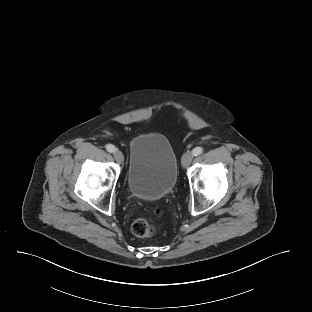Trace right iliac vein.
<instances>
[{
	"mask_svg": "<svg viewBox=\"0 0 312 312\" xmlns=\"http://www.w3.org/2000/svg\"><path fill=\"white\" fill-rule=\"evenodd\" d=\"M113 156L115 160L119 163H122L124 161L123 153L119 150L114 151Z\"/></svg>",
	"mask_w": 312,
	"mask_h": 312,
	"instance_id": "obj_1",
	"label": "right iliac vein"
}]
</instances>
